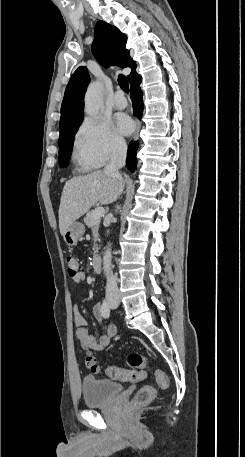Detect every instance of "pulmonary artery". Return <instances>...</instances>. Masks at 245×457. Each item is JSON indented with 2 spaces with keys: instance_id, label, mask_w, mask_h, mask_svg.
I'll use <instances>...</instances> for the list:
<instances>
[{
  "instance_id": "1",
  "label": "pulmonary artery",
  "mask_w": 245,
  "mask_h": 457,
  "mask_svg": "<svg viewBox=\"0 0 245 457\" xmlns=\"http://www.w3.org/2000/svg\"><path fill=\"white\" fill-rule=\"evenodd\" d=\"M113 104L117 109H124L126 107L127 101L121 91H118L114 94Z\"/></svg>"
}]
</instances>
